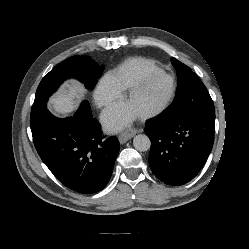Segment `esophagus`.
Instances as JSON below:
<instances>
[{"label":"esophagus","mask_w":249,"mask_h":249,"mask_svg":"<svg viewBox=\"0 0 249 249\" xmlns=\"http://www.w3.org/2000/svg\"><path fill=\"white\" fill-rule=\"evenodd\" d=\"M138 131L136 129H130L125 132H122L119 135L120 143H125L126 141L130 140Z\"/></svg>","instance_id":"esophagus-1"}]
</instances>
